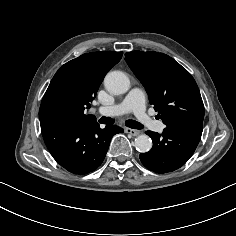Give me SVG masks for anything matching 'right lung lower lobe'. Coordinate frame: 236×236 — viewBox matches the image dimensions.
<instances>
[{
    "label": "right lung lower lobe",
    "instance_id": "right-lung-lower-lobe-1",
    "mask_svg": "<svg viewBox=\"0 0 236 236\" xmlns=\"http://www.w3.org/2000/svg\"><path fill=\"white\" fill-rule=\"evenodd\" d=\"M45 144L56 162L73 174H87L103 162L113 135L123 130L104 129L96 121L71 123L59 117L40 122Z\"/></svg>",
    "mask_w": 236,
    "mask_h": 236
}]
</instances>
